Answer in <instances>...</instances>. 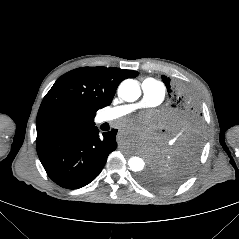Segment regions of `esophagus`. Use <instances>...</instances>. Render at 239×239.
I'll return each mask as SVG.
<instances>
[{
  "instance_id": "esophagus-1",
  "label": "esophagus",
  "mask_w": 239,
  "mask_h": 239,
  "mask_svg": "<svg viewBox=\"0 0 239 239\" xmlns=\"http://www.w3.org/2000/svg\"><path fill=\"white\" fill-rule=\"evenodd\" d=\"M115 139H116L117 141L123 142V141H125L126 136H125V134H123L122 132H117V133L115 134Z\"/></svg>"
}]
</instances>
